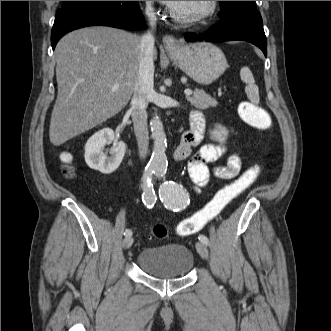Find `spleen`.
Listing matches in <instances>:
<instances>
[{
    "instance_id": "spleen-1",
    "label": "spleen",
    "mask_w": 331,
    "mask_h": 331,
    "mask_svg": "<svg viewBox=\"0 0 331 331\" xmlns=\"http://www.w3.org/2000/svg\"><path fill=\"white\" fill-rule=\"evenodd\" d=\"M240 77L243 82L246 83L245 92L249 100L254 103H259V89L255 84L254 77L249 68L243 67L240 71Z\"/></svg>"
}]
</instances>
